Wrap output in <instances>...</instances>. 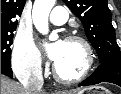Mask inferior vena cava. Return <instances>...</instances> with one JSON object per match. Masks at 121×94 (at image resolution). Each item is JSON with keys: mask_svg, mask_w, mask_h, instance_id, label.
Segmentation results:
<instances>
[{"mask_svg": "<svg viewBox=\"0 0 121 94\" xmlns=\"http://www.w3.org/2000/svg\"><path fill=\"white\" fill-rule=\"evenodd\" d=\"M43 84H44V80H43L42 72L41 70H38L37 74L32 77L30 82L24 85V88L28 91V93L36 94L41 92Z\"/></svg>", "mask_w": 121, "mask_h": 94, "instance_id": "inferior-vena-cava-1", "label": "inferior vena cava"}]
</instances>
